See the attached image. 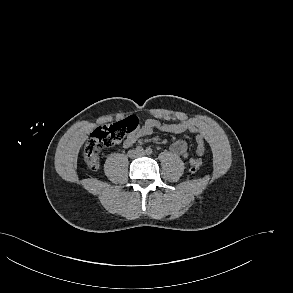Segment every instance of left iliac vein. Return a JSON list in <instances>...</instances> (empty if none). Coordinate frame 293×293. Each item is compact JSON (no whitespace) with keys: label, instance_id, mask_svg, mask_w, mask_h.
<instances>
[{"label":"left iliac vein","instance_id":"obj_1","mask_svg":"<svg viewBox=\"0 0 293 293\" xmlns=\"http://www.w3.org/2000/svg\"><path fill=\"white\" fill-rule=\"evenodd\" d=\"M144 154H145L144 151H142V152H138V156H143Z\"/></svg>","mask_w":293,"mask_h":293}]
</instances>
